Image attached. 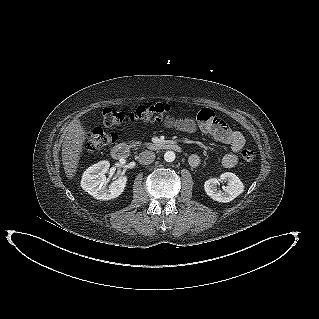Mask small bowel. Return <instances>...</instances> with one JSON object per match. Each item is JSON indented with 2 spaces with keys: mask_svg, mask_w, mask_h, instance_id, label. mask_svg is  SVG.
<instances>
[{
  "mask_svg": "<svg viewBox=\"0 0 319 319\" xmlns=\"http://www.w3.org/2000/svg\"><path fill=\"white\" fill-rule=\"evenodd\" d=\"M168 125L182 132L193 133L197 129L211 135L218 142L228 146L231 152L225 154L221 164L224 168H232L238 162L237 154L245 145L244 136L236 130H233L229 125L219 118L210 109H202L197 116V119L182 118L175 121H169ZM201 163V158L197 154H192L189 157V164L192 167H198Z\"/></svg>",
  "mask_w": 319,
  "mask_h": 319,
  "instance_id": "small-bowel-1",
  "label": "small bowel"
}]
</instances>
